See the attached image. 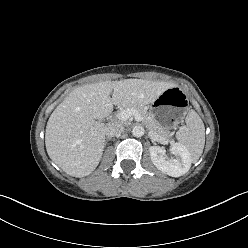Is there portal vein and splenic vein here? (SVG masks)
I'll use <instances>...</instances> for the list:
<instances>
[{
  "mask_svg": "<svg viewBox=\"0 0 248 248\" xmlns=\"http://www.w3.org/2000/svg\"><path fill=\"white\" fill-rule=\"evenodd\" d=\"M117 118L121 121H126L128 120L131 116H134V118L137 121L142 120L141 115L139 114V112L135 109V108H127L121 112H119L117 115Z\"/></svg>",
  "mask_w": 248,
  "mask_h": 248,
  "instance_id": "obj_1",
  "label": "portal vein and splenic vein"
}]
</instances>
